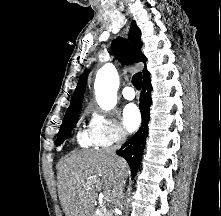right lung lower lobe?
Returning a JSON list of instances; mask_svg holds the SVG:
<instances>
[{"mask_svg": "<svg viewBox=\"0 0 221 216\" xmlns=\"http://www.w3.org/2000/svg\"><path fill=\"white\" fill-rule=\"evenodd\" d=\"M144 80V86L140 95V110L142 115V125L139 130L127 142H125L116 154L126 159L130 168L132 177L137 173L143 154L146 137L148 134L149 107L151 105V90L149 76Z\"/></svg>", "mask_w": 221, "mask_h": 216, "instance_id": "obj_1", "label": "right lung lower lobe"}]
</instances>
